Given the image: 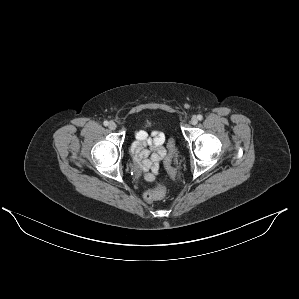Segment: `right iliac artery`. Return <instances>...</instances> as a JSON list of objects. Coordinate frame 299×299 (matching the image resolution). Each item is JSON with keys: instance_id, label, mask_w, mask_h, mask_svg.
<instances>
[{"instance_id": "1", "label": "right iliac artery", "mask_w": 299, "mask_h": 299, "mask_svg": "<svg viewBox=\"0 0 299 299\" xmlns=\"http://www.w3.org/2000/svg\"><path fill=\"white\" fill-rule=\"evenodd\" d=\"M108 124H109L108 121H104V122H103V125H104V126H108Z\"/></svg>"}]
</instances>
